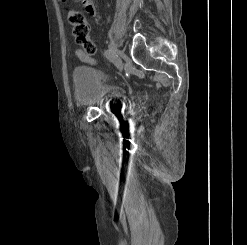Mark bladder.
Segmentation results:
<instances>
[{
	"label": "bladder",
	"instance_id": "1",
	"mask_svg": "<svg viewBox=\"0 0 247 245\" xmlns=\"http://www.w3.org/2000/svg\"><path fill=\"white\" fill-rule=\"evenodd\" d=\"M75 101L80 106L116 107L126 96L123 86L109 82L99 70L83 66L73 73Z\"/></svg>",
	"mask_w": 247,
	"mask_h": 245
}]
</instances>
